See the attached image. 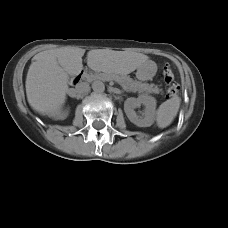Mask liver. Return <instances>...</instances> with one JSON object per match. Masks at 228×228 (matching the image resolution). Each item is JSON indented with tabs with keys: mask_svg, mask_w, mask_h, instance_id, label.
Wrapping results in <instances>:
<instances>
[{
	"mask_svg": "<svg viewBox=\"0 0 228 228\" xmlns=\"http://www.w3.org/2000/svg\"><path fill=\"white\" fill-rule=\"evenodd\" d=\"M81 48H60L36 54L26 77V95L33 110L51 116L60 111L69 91V75L83 70ZM146 63H155L141 53L95 49L87 54V65L95 72L113 77L127 75Z\"/></svg>",
	"mask_w": 228,
	"mask_h": 228,
	"instance_id": "obj_1",
	"label": "liver"
}]
</instances>
